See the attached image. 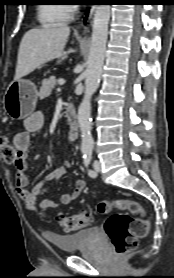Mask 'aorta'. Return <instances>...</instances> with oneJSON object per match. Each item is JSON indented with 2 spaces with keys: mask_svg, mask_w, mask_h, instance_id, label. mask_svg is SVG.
<instances>
[{
  "mask_svg": "<svg viewBox=\"0 0 174 278\" xmlns=\"http://www.w3.org/2000/svg\"><path fill=\"white\" fill-rule=\"evenodd\" d=\"M110 14V5H98L94 14L91 45L87 68L85 70L84 97L78 108V123L82 139L81 149L83 151H92L94 147V140L91 132V98L100 83L105 58Z\"/></svg>",
  "mask_w": 174,
  "mask_h": 278,
  "instance_id": "obj_1",
  "label": "aorta"
}]
</instances>
